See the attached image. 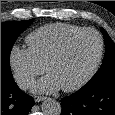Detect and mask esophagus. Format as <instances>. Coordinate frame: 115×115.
<instances>
[{
	"label": "esophagus",
	"mask_w": 115,
	"mask_h": 115,
	"mask_svg": "<svg viewBox=\"0 0 115 115\" xmlns=\"http://www.w3.org/2000/svg\"><path fill=\"white\" fill-rule=\"evenodd\" d=\"M45 99H46V97H44V96H35L34 97L35 102H40V101H43Z\"/></svg>",
	"instance_id": "esophagus-1"
}]
</instances>
